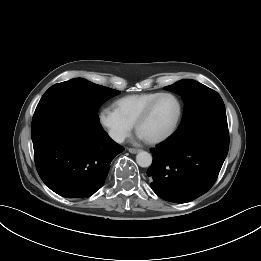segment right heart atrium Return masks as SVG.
<instances>
[{"label":"right heart atrium","mask_w":261,"mask_h":261,"mask_svg":"<svg viewBox=\"0 0 261 261\" xmlns=\"http://www.w3.org/2000/svg\"><path fill=\"white\" fill-rule=\"evenodd\" d=\"M98 119L110 138L122 143L131 133L133 124L123 118L115 109L104 107L99 111Z\"/></svg>","instance_id":"right-heart-atrium-1"}]
</instances>
